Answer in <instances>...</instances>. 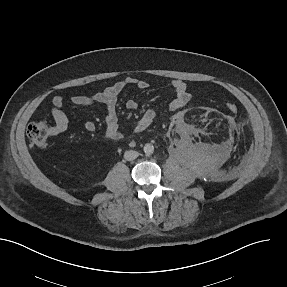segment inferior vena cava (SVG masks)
I'll return each instance as SVG.
<instances>
[{"mask_svg": "<svg viewBox=\"0 0 287 287\" xmlns=\"http://www.w3.org/2000/svg\"><path fill=\"white\" fill-rule=\"evenodd\" d=\"M138 156H139V153L137 151H133V150L126 151L124 153V158L127 161H132V160L136 159Z\"/></svg>", "mask_w": 287, "mask_h": 287, "instance_id": "obj_1", "label": "inferior vena cava"}]
</instances>
